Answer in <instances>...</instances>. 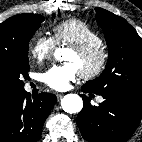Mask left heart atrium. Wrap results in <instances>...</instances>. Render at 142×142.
Segmentation results:
<instances>
[{"mask_svg":"<svg viewBox=\"0 0 142 142\" xmlns=\"http://www.w3.org/2000/svg\"><path fill=\"white\" fill-rule=\"evenodd\" d=\"M79 73V69L73 63L53 65L43 74V81L54 90L65 91L76 81Z\"/></svg>","mask_w":142,"mask_h":142,"instance_id":"1","label":"left heart atrium"}]
</instances>
